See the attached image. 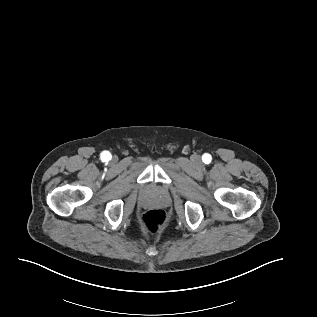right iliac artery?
Masks as SVG:
<instances>
[{
    "instance_id": "1",
    "label": "right iliac artery",
    "mask_w": 317,
    "mask_h": 317,
    "mask_svg": "<svg viewBox=\"0 0 317 317\" xmlns=\"http://www.w3.org/2000/svg\"><path fill=\"white\" fill-rule=\"evenodd\" d=\"M110 157H111V156H110V153L107 152V151H104V152L101 153V159H102L103 161L109 160Z\"/></svg>"
}]
</instances>
